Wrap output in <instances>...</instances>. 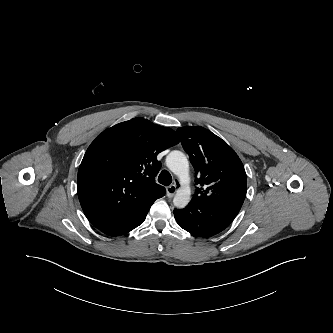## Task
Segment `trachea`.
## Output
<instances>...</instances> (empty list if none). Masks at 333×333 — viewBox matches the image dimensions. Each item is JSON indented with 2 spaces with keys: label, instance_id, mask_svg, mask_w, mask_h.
Returning <instances> with one entry per match:
<instances>
[{
  "label": "trachea",
  "instance_id": "3493384b",
  "mask_svg": "<svg viewBox=\"0 0 333 333\" xmlns=\"http://www.w3.org/2000/svg\"><path fill=\"white\" fill-rule=\"evenodd\" d=\"M158 182L162 185L169 186L172 183V176L167 170H163L158 176Z\"/></svg>",
  "mask_w": 333,
  "mask_h": 333
}]
</instances>
